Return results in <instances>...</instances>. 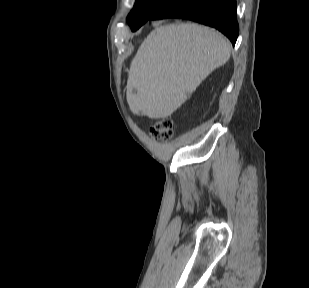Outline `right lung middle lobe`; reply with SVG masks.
Returning a JSON list of instances; mask_svg holds the SVG:
<instances>
[{
  "label": "right lung middle lobe",
  "instance_id": "dd1d6c3e",
  "mask_svg": "<svg viewBox=\"0 0 309 288\" xmlns=\"http://www.w3.org/2000/svg\"><path fill=\"white\" fill-rule=\"evenodd\" d=\"M175 0H136L134 9L127 17L132 31H136L159 10Z\"/></svg>",
  "mask_w": 309,
  "mask_h": 288
}]
</instances>
